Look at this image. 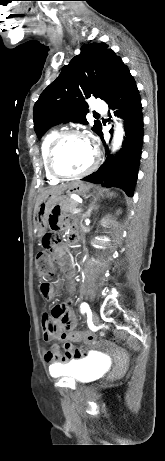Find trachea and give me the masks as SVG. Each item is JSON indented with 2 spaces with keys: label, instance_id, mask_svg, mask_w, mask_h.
<instances>
[{
  "label": "trachea",
  "instance_id": "trachea-1",
  "mask_svg": "<svg viewBox=\"0 0 165 461\" xmlns=\"http://www.w3.org/2000/svg\"><path fill=\"white\" fill-rule=\"evenodd\" d=\"M93 115H94V116H99L97 113H94Z\"/></svg>",
  "mask_w": 165,
  "mask_h": 461
}]
</instances>
